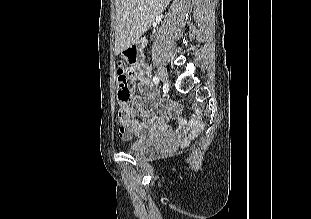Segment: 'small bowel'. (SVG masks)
<instances>
[{
  "label": "small bowel",
  "mask_w": 311,
  "mask_h": 219,
  "mask_svg": "<svg viewBox=\"0 0 311 219\" xmlns=\"http://www.w3.org/2000/svg\"><path fill=\"white\" fill-rule=\"evenodd\" d=\"M131 78L137 82L140 92L145 96H135L131 106H121L117 112L119 134L123 139L146 138L156 133L167 138L168 142L180 139L178 132L165 118L177 119L179 126L186 130L185 140L195 135L202 127L197 117L186 120L180 116V104L171 98H161L148 77V67L141 63L129 69ZM140 115L141 120L137 119Z\"/></svg>",
  "instance_id": "c3829d8e"
}]
</instances>
